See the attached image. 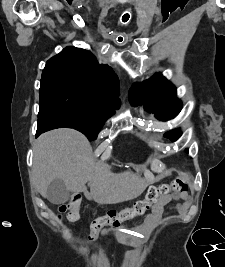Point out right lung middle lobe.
Masks as SVG:
<instances>
[{
	"label": "right lung middle lobe",
	"instance_id": "right-lung-middle-lobe-1",
	"mask_svg": "<svg viewBox=\"0 0 225 267\" xmlns=\"http://www.w3.org/2000/svg\"><path fill=\"white\" fill-rule=\"evenodd\" d=\"M39 95V109L54 111L89 140L97 138L116 110L89 89L61 80L41 81Z\"/></svg>",
	"mask_w": 225,
	"mask_h": 267
}]
</instances>
